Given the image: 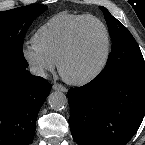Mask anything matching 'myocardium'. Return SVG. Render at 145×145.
Segmentation results:
<instances>
[{
	"label": "myocardium",
	"instance_id": "myocardium-1",
	"mask_svg": "<svg viewBox=\"0 0 145 145\" xmlns=\"http://www.w3.org/2000/svg\"><path fill=\"white\" fill-rule=\"evenodd\" d=\"M88 21H94L98 23L104 30L105 38H106L105 53L101 62L92 71L80 77H71L65 72V65L67 61L71 58V56L74 54L78 46L79 35L82 26ZM111 50H112L111 34L107 25L100 18L93 15H88L82 18L73 28L70 40L57 62L58 71L61 77L63 78V80H65L67 83L76 86L86 85L92 82L94 79H96L104 71V69L106 68L110 60Z\"/></svg>",
	"mask_w": 145,
	"mask_h": 145
}]
</instances>
